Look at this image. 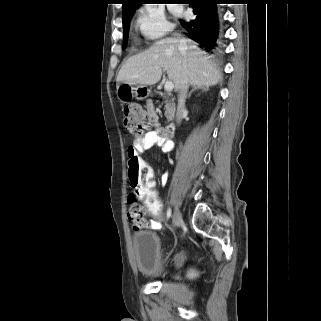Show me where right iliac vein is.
Masks as SVG:
<instances>
[{"label": "right iliac vein", "instance_id": "1", "mask_svg": "<svg viewBox=\"0 0 321 321\" xmlns=\"http://www.w3.org/2000/svg\"><path fill=\"white\" fill-rule=\"evenodd\" d=\"M182 222V216L179 209H176L173 215V226H178Z\"/></svg>", "mask_w": 321, "mask_h": 321}]
</instances>
